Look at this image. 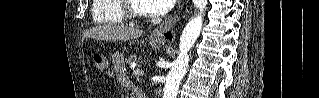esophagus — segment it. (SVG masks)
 Returning a JSON list of instances; mask_svg holds the SVG:
<instances>
[{
    "mask_svg": "<svg viewBox=\"0 0 319 98\" xmlns=\"http://www.w3.org/2000/svg\"><path fill=\"white\" fill-rule=\"evenodd\" d=\"M183 7L184 3H180L174 13L153 30L151 37L168 44L173 43L176 39L173 29L181 18Z\"/></svg>",
    "mask_w": 319,
    "mask_h": 98,
    "instance_id": "1",
    "label": "esophagus"
}]
</instances>
